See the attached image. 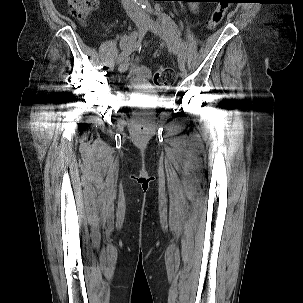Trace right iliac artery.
<instances>
[{"label":"right iliac artery","mask_w":303,"mask_h":303,"mask_svg":"<svg viewBox=\"0 0 303 303\" xmlns=\"http://www.w3.org/2000/svg\"><path fill=\"white\" fill-rule=\"evenodd\" d=\"M141 45V39L134 42L132 45L125 48L119 55L117 62L121 63L136 49H138Z\"/></svg>","instance_id":"1"}]
</instances>
